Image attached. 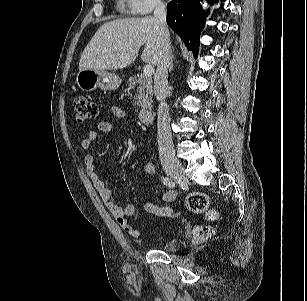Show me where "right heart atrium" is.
I'll return each mask as SVG.
<instances>
[{
    "label": "right heart atrium",
    "mask_w": 307,
    "mask_h": 301,
    "mask_svg": "<svg viewBox=\"0 0 307 301\" xmlns=\"http://www.w3.org/2000/svg\"><path fill=\"white\" fill-rule=\"evenodd\" d=\"M127 9L137 15L149 14L164 7L163 0H123Z\"/></svg>",
    "instance_id": "obj_1"
}]
</instances>
